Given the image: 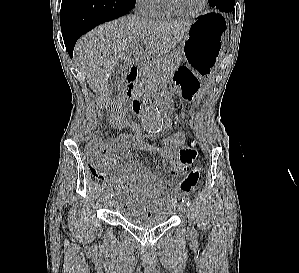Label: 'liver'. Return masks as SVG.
Returning <instances> with one entry per match:
<instances>
[{"label": "liver", "mask_w": 299, "mask_h": 273, "mask_svg": "<svg viewBox=\"0 0 299 273\" xmlns=\"http://www.w3.org/2000/svg\"><path fill=\"white\" fill-rule=\"evenodd\" d=\"M192 23L154 21L133 15L121 17L83 36L75 46L74 59L100 102L108 103L109 79L119 60L130 67L132 55L166 56L184 38Z\"/></svg>", "instance_id": "6515ba94"}]
</instances>
